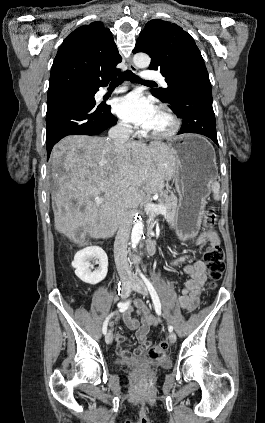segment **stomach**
Returning a JSON list of instances; mask_svg holds the SVG:
<instances>
[{"instance_id": "stomach-1", "label": "stomach", "mask_w": 265, "mask_h": 423, "mask_svg": "<svg viewBox=\"0 0 265 423\" xmlns=\"http://www.w3.org/2000/svg\"><path fill=\"white\" fill-rule=\"evenodd\" d=\"M175 157V184L179 195L175 227L180 238L195 237L204 214L205 198L216 171L211 143L200 135L185 134L167 143Z\"/></svg>"}]
</instances>
